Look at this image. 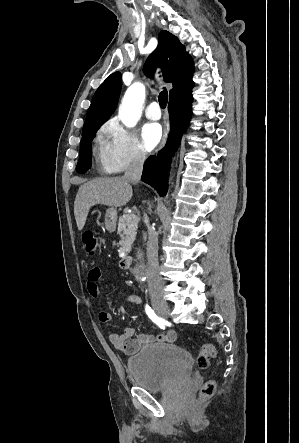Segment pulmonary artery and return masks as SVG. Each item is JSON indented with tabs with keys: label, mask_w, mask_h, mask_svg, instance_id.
<instances>
[{
	"label": "pulmonary artery",
	"mask_w": 299,
	"mask_h": 443,
	"mask_svg": "<svg viewBox=\"0 0 299 443\" xmlns=\"http://www.w3.org/2000/svg\"><path fill=\"white\" fill-rule=\"evenodd\" d=\"M145 115L150 120H158L161 118V110L159 103L152 101L146 108Z\"/></svg>",
	"instance_id": "1"
}]
</instances>
